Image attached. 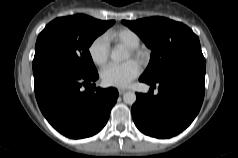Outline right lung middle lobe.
Wrapping results in <instances>:
<instances>
[{
	"instance_id": "dd1d6c3e",
	"label": "right lung middle lobe",
	"mask_w": 238,
	"mask_h": 158,
	"mask_svg": "<svg viewBox=\"0 0 238 158\" xmlns=\"http://www.w3.org/2000/svg\"><path fill=\"white\" fill-rule=\"evenodd\" d=\"M114 24L83 14L60 17L50 22L39 34L33 63L54 60L85 75L97 74L89 47Z\"/></svg>"
}]
</instances>
